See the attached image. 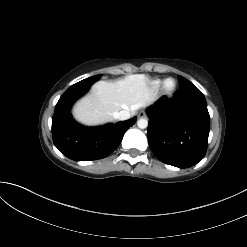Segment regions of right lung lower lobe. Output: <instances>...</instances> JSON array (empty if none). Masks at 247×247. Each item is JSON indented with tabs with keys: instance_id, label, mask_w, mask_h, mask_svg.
<instances>
[{
	"instance_id": "obj_1",
	"label": "right lung lower lobe",
	"mask_w": 247,
	"mask_h": 247,
	"mask_svg": "<svg viewBox=\"0 0 247 247\" xmlns=\"http://www.w3.org/2000/svg\"><path fill=\"white\" fill-rule=\"evenodd\" d=\"M92 84L80 81L69 87L56 104L52 118L54 145L63 155L76 161L98 160L111 154L137 118L100 127H85L75 122L71 106Z\"/></svg>"
}]
</instances>
